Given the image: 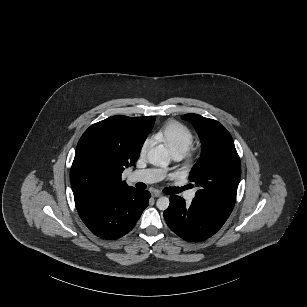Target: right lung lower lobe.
Segmentation results:
<instances>
[{"label":"right lung lower lobe","instance_id":"obj_1","mask_svg":"<svg viewBox=\"0 0 307 307\" xmlns=\"http://www.w3.org/2000/svg\"><path fill=\"white\" fill-rule=\"evenodd\" d=\"M150 193L134 187L114 192L78 210L85 225L98 237L118 239L132 230L148 206Z\"/></svg>","mask_w":307,"mask_h":307}]
</instances>
